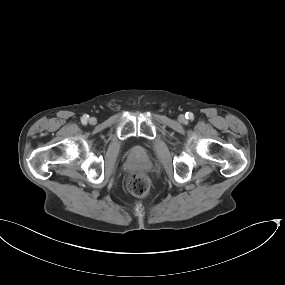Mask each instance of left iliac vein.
Listing matches in <instances>:
<instances>
[{
    "label": "left iliac vein",
    "mask_w": 285,
    "mask_h": 285,
    "mask_svg": "<svg viewBox=\"0 0 285 285\" xmlns=\"http://www.w3.org/2000/svg\"><path fill=\"white\" fill-rule=\"evenodd\" d=\"M178 120L182 123L185 121V116L184 115H179Z\"/></svg>",
    "instance_id": "4c4485c4"
}]
</instances>
